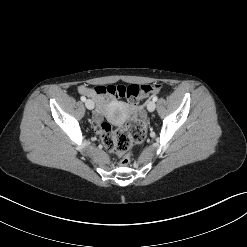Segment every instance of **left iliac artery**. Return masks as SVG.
<instances>
[{"label": "left iliac artery", "mask_w": 247, "mask_h": 247, "mask_svg": "<svg viewBox=\"0 0 247 247\" xmlns=\"http://www.w3.org/2000/svg\"><path fill=\"white\" fill-rule=\"evenodd\" d=\"M152 100H153L154 102H156V101L158 100V97H157V96H154V97L152 98Z\"/></svg>", "instance_id": "left-iliac-artery-1"}]
</instances>
